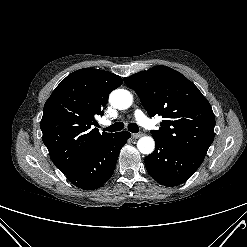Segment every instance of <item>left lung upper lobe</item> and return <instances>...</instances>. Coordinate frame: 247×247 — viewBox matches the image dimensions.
I'll return each instance as SVG.
<instances>
[{
	"label": "left lung upper lobe",
	"mask_w": 247,
	"mask_h": 247,
	"mask_svg": "<svg viewBox=\"0 0 247 247\" xmlns=\"http://www.w3.org/2000/svg\"><path fill=\"white\" fill-rule=\"evenodd\" d=\"M150 116L164 118L153 138L205 157L214 139L215 116L208 100L185 76L156 66L124 78Z\"/></svg>",
	"instance_id": "obj_1"
}]
</instances>
